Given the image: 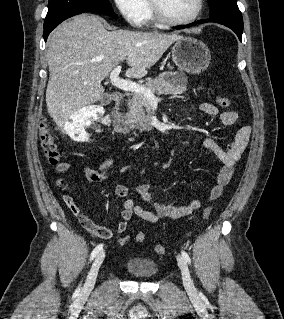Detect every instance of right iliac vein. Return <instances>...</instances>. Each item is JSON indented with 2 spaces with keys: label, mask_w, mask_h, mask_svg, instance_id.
I'll use <instances>...</instances> for the list:
<instances>
[{
  "label": "right iliac vein",
  "mask_w": 284,
  "mask_h": 319,
  "mask_svg": "<svg viewBox=\"0 0 284 319\" xmlns=\"http://www.w3.org/2000/svg\"><path fill=\"white\" fill-rule=\"evenodd\" d=\"M104 258H105L104 251L99 252L98 255L96 256V258L91 266V269L88 273L85 284L83 286L82 292L84 294H89L91 292V290L93 289L95 282H96V278H97L99 269L104 261Z\"/></svg>",
  "instance_id": "obj_1"
}]
</instances>
